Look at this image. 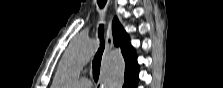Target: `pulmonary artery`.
I'll return each mask as SVG.
<instances>
[{"label": "pulmonary artery", "mask_w": 223, "mask_h": 88, "mask_svg": "<svg viewBox=\"0 0 223 88\" xmlns=\"http://www.w3.org/2000/svg\"><path fill=\"white\" fill-rule=\"evenodd\" d=\"M77 85L79 88H90L91 87V82L87 78H81L78 82Z\"/></svg>", "instance_id": "obj_1"}]
</instances>
